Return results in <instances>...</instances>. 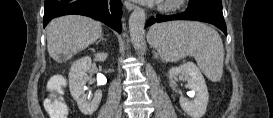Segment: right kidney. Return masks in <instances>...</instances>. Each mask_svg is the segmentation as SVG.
I'll return each mask as SVG.
<instances>
[{"instance_id": "ca27d5eb", "label": "right kidney", "mask_w": 273, "mask_h": 118, "mask_svg": "<svg viewBox=\"0 0 273 118\" xmlns=\"http://www.w3.org/2000/svg\"><path fill=\"white\" fill-rule=\"evenodd\" d=\"M108 54L97 53L95 58L98 61H105ZM92 60L89 56L76 60L69 72V88L72 97L77 101L80 111L85 115H90L97 110L101 98L102 91L97 90L94 95L87 98L85 94L86 82L89 80L88 73L91 72Z\"/></svg>"}]
</instances>
